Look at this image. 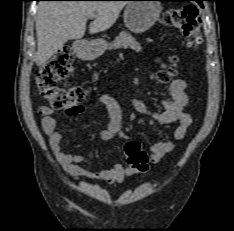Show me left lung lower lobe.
<instances>
[{"instance_id":"1","label":"left lung lower lobe","mask_w":234,"mask_h":231,"mask_svg":"<svg viewBox=\"0 0 234 231\" xmlns=\"http://www.w3.org/2000/svg\"><path fill=\"white\" fill-rule=\"evenodd\" d=\"M186 1H196V2L199 3V5H200L201 7H203L202 2H203V1H206V0H186Z\"/></svg>"}]
</instances>
